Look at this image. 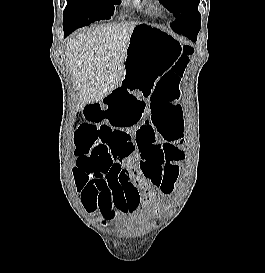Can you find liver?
I'll list each match as a JSON object with an SVG mask.
<instances>
[{"label": "liver", "mask_w": 265, "mask_h": 273, "mask_svg": "<svg viewBox=\"0 0 265 273\" xmlns=\"http://www.w3.org/2000/svg\"><path fill=\"white\" fill-rule=\"evenodd\" d=\"M138 24L126 22L89 29L67 42L66 62L79 90V108L101 101L118 87L129 40Z\"/></svg>", "instance_id": "1"}]
</instances>
